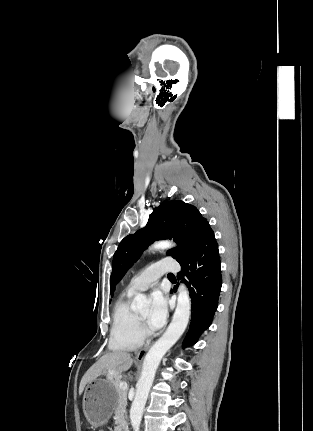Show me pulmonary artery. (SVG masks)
<instances>
[{"label":"pulmonary artery","instance_id":"e3ab8cb5","mask_svg":"<svg viewBox=\"0 0 313 431\" xmlns=\"http://www.w3.org/2000/svg\"><path fill=\"white\" fill-rule=\"evenodd\" d=\"M180 270L179 264L172 258H165L157 261L140 274H138L128 285L127 292L135 294L137 292L145 291L155 285L157 280L165 273H176Z\"/></svg>","mask_w":313,"mask_h":431}]
</instances>
